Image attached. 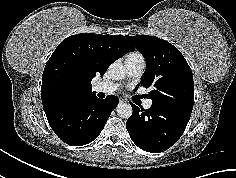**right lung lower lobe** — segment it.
Listing matches in <instances>:
<instances>
[{"label": "right lung lower lobe", "instance_id": "98d812e1", "mask_svg": "<svg viewBox=\"0 0 236 178\" xmlns=\"http://www.w3.org/2000/svg\"><path fill=\"white\" fill-rule=\"evenodd\" d=\"M118 98L99 99L95 94L45 112L55 134L66 144L82 146L94 141L103 130Z\"/></svg>", "mask_w": 236, "mask_h": 178}]
</instances>
